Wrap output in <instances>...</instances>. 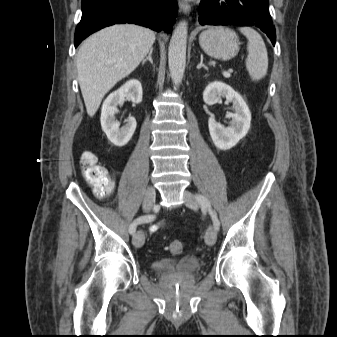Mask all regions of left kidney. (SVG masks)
Returning a JSON list of instances; mask_svg holds the SVG:
<instances>
[{
    "label": "left kidney",
    "instance_id": "obj_1",
    "mask_svg": "<svg viewBox=\"0 0 337 337\" xmlns=\"http://www.w3.org/2000/svg\"><path fill=\"white\" fill-rule=\"evenodd\" d=\"M222 97L233 103L234 113L227 114L231 118L230 126L225 128L210 116L208 127L214 145L221 150H229L246 136L250 128L251 113L242 96L225 83L212 82L203 92V100L208 105L218 103Z\"/></svg>",
    "mask_w": 337,
    "mask_h": 337
}]
</instances>
